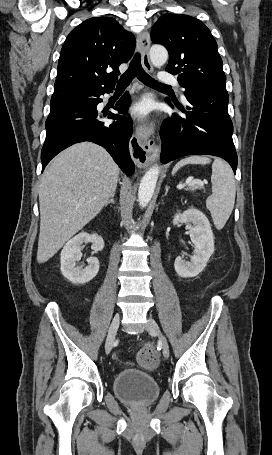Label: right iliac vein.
Wrapping results in <instances>:
<instances>
[{"label": "right iliac vein", "instance_id": "1", "mask_svg": "<svg viewBox=\"0 0 272 455\" xmlns=\"http://www.w3.org/2000/svg\"><path fill=\"white\" fill-rule=\"evenodd\" d=\"M120 323V316L119 314H116L110 324L109 330H108V335L106 338V343H105V352L106 354H109L115 341V336L119 327Z\"/></svg>", "mask_w": 272, "mask_h": 455}]
</instances>
